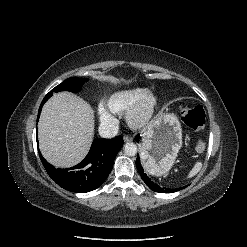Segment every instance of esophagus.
Here are the masks:
<instances>
[{"label": "esophagus", "mask_w": 247, "mask_h": 247, "mask_svg": "<svg viewBox=\"0 0 247 247\" xmlns=\"http://www.w3.org/2000/svg\"><path fill=\"white\" fill-rule=\"evenodd\" d=\"M123 139H124V142H131L133 140V138L129 135H124Z\"/></svg>", "instance_id": "esophagus-1"}]
</instances>
